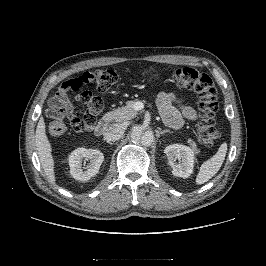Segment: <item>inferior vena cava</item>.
<instances>
[{
    "instance_id": "602c4592",
    "label": "inferior vena cava",
    "mask_w": 266,
    "mask_h": 266,
    "mask_svg": "<svg viewBox=\"0 0 266 266\" xmlns=\"http://www.w3.org/2000/svg\"><path fill=\"white\" fill-rule=\"evenodd\" d=\"M125 131V126L123 124H110L105 132L104 139L106 141H116L119 140Z\"/></svg>"
}]
</instances>
